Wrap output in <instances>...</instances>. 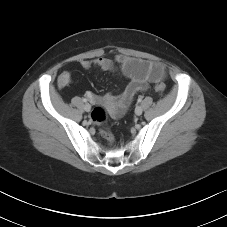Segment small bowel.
Here are the masks:
<instances>
[{"instance_id":"obj_1","label":"small bowel","mask_w":227,"mask_h":227,"mask_svg":"<svg viewBox=\"0 0 227 227\" xmlns=\"http://www.w3.org/2000/svg\"><path fill=\"white\" fill-rule=\"evenodd\" d=\"M79 65L85 70L97 68L101 71H112L118 69L128 80L120 94L97 95L90 91L86 92V97L91 102L108 104L113 116L123 114L137 92L146 91L150 83L158 82L164 77V69L160 65L124 55H118L114 60L105 57L84 59L79 62ZM71 80V73L63 71L57 78V85L59 88H64L70 84Z\"/></svg>"}]
</instances>
